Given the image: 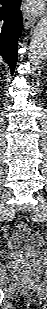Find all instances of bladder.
Wrapping results in <instances>:
<instances>
[{
	"mask_svg": "<svg viewBox=\"0 0 47 309\" xmlns=\"http://www.w3.org/2000/svg\"><path fill=\"white\" fill-rule=\"evenodd\" d=\"M43 245L44 237L28 226L11 234L5 243L7 249L18 252L37 250Z\"/></svg>",
	"mask_w": 47,
	"mask_h": 309,
	"instance_id": "31cf9c89",
	"label": "bladder"
}]
</instances>
